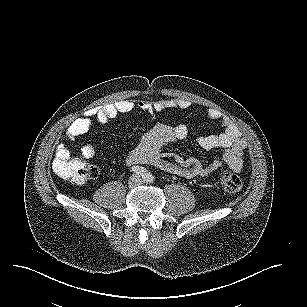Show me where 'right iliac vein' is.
Listing matches in <instances>:
<instances>
[{
    "instance_id": "1",
    "label": "right iliac vein",
    "mask_w": 307,
    "mask_h": 307,
    "mask_svg": "<svg viewBox=\"0 0 307 307\" xmlns=\"http://www.w3.org/2000/svg\"><path fill=\"white\" fill-rule=\"evenodd\" d=\"M138 182V177L137 176H132L130 177V179L128 180V184L131 188L135 187L136 184Z\"/></svg>"
}]
</instances>
